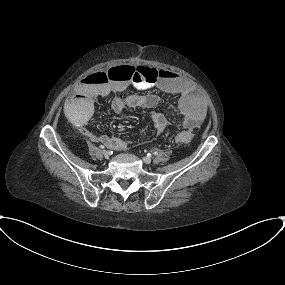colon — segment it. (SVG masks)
Listing matches in <instances>:
<instances>
[{"label":"colon","instance_id":"5ec220e1","mask_svg":"<svg viewBox=\"0 0 285 285\" xmlns=\"http://www.w3.org/2000/svg\"><path fill=\"white\" fill-rule=\"evenodd\" d=\"M144 77V79H143ZM159 77V71L154 68H145L141 66H121L109 69L106 74L98 71L83 76L87 82L96 84H105L109 78L120 79L130 83L153 82ZM191 137L188 133H181L178 136V142L188 143Z\"/></svg>","mask_w":285,"mask_h":285}]
</instances>
